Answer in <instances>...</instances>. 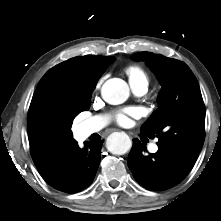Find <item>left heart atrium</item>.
Here are the masks:
<instances>
[{"label":"left heart atrium","mask_w":221,"mask_h":221,"mask_svg":"<svg viewBox=\"0 0 221 221\" xmlns=\"http://www.w3.org/2000/svg\"><path fill=\"white\" fill-rule=\"evenodd\" d=\"M138 111L134 108H129L116 113L115 119L118 124L126 125L129 122V116H136Z\"/></svg>","instance_id":"obj_1"}]
</instances>
